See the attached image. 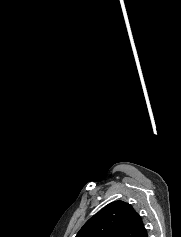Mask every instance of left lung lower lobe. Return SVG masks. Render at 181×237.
I'll use <instances>...</instances> for the list:
<instances>
[{
    "label": "left lung lower lobe",
    "instance_id": "obj_1",
    "mask_svg": "<svg viewBox=\"0 0 181 237\" xmlns=\"http://www.w3.org/2000/svg\"><path fill=\"white\" fill-rule=\"evenodd\" d=\"M142 237H148L147 232L145 231Z\"/></svg>",
    "mask_w": 181,
    "mask_h": 237
}]
</instances>
